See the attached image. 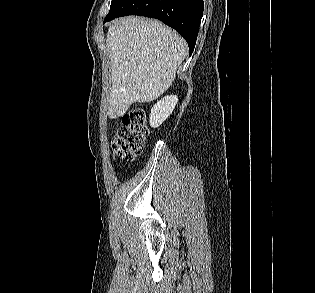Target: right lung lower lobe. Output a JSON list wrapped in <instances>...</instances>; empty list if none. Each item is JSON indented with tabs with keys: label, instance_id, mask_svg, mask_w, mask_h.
Returning <instances> with one entry per match:
<instances>
[{
	"label": "right lung lower lobe",
	"instance_id": "1",
	"mask_svg": "<svg viewBox=\"0 0 315 293\" xmlns=\"http://www.w3.org/2000/svg\"><path fill=\"white\" fill-rule=\"evenodd\" d=\"M203 9V0H112L104 23L126 15L159 19L180 33L192 54Z\"/></svg>",
	"mask_w": 315,
	"mask_h": 293
}]
</instances>
